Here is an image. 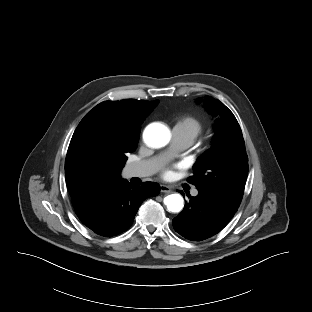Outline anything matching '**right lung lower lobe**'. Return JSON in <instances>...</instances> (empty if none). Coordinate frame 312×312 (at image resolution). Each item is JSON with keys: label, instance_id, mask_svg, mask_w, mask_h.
<instances>
[{"label": "right lung lower lobe", "instance_id": "right-lung-lower-lobe-1", "mask_svg": "<svg viewBox=\"0 0 312 312\" xmlns=\"http://www.w3.org/2000/svg\"><path fill=\"white\" fill-rule=\"evenodd\" d=\"M160 187L154 182L142 186L122 182L116 186L81 222L96 234L111 237L128 229L141 203L159 194Z\"/></svg>", "mask_w": 312, "mask_h": 312}]
</instances>
